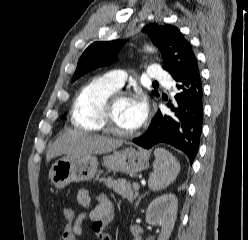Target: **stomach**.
<instances>
[{
	"label": "stomach",
	"mask_w": 248,
	"mask_h": 240,
	"mask_svg": "<svg viewBox=\"0 0 248 240\" xmlns=\"http://www.w3.org/2000/svg\"><path fill=\"white\" fill-rule=\"evenodd\" d=\"M109 171L135 174L149 165V153L134 148L113 151L103 157ZM98 168V159L94 155L65 156L58 159L50 168L49 178L57 189L71 182L88 181L94 178Z\"/></svg>",
	"instance_id": "0dacf381"
}]
</instances>
